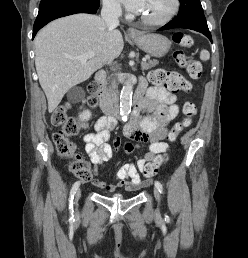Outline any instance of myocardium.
<instances>
[{"mask_svg": "<svg viewBox=\"0 0 248 258\" xmlns=\"http://www.w3.org/2000/svg\"><path fill=\"white\" fill-rule=\"evenodd\" d=\"M180 9V0H173V7L171 11L163 18L157 20H150L140 16V20L147 26H162L169 23L178 13Z\"/></svg>", "mask_w": 248, "mask_h": 258, "instance_id": "obj_1", "label": "myocardium"}]
</instances>
